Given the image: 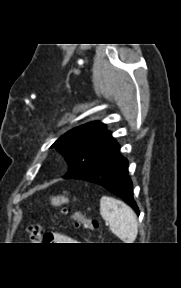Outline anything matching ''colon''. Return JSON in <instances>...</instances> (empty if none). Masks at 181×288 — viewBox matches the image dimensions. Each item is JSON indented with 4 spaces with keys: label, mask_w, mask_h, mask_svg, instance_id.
I'll return each mask as SVG.
<instances>
[{
    "label": "colon",
    "mask_w": 181,
    "mask_h": 288,
    "mask_svg": "<svg viewBox=\"0 0 181 288\" xmlns=\"http://www.w3.org/2000/svg\"><path fill=\"white\" fill-rule=\"evenodd\" d=\"M62 213L69 215L76 227H86L91 230H98L99 228L98 221L87 218L80 211L70 212L65 208L62 210ZM28 234L32 243L51 242L52 233L46 232L41 225H30L28 227Z\"/></svg>",
    "instance_id": "colon-1"
}]
</instances>
